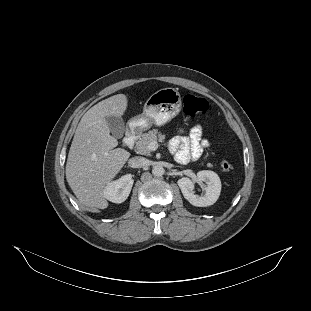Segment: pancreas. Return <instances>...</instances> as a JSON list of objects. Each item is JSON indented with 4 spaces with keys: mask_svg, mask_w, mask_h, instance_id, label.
Instances as JSON below:
<instances>
[{
    "mask_svg": "<svg viewBox=\"0 0 311 311\" xmlns=\"http://www.w3.org/2000/svg\"><path fill=\"white\" fill-rule=\"evenodd\" d=\"M166 139V135L161 131V129L153 128L148 132H145L141 138L136 141V149L140 154H149L147 150V145L154 141L162 142ZM207 162V158L200 165H204ZM206 166L208 168H212L213 165L211 163H207Z\"/></svg>",
    "mask_w": 311,
    "mask_h": 311,
    "instance_id": "obj_1",
    "label": "pancreas"
}]
</instances>
